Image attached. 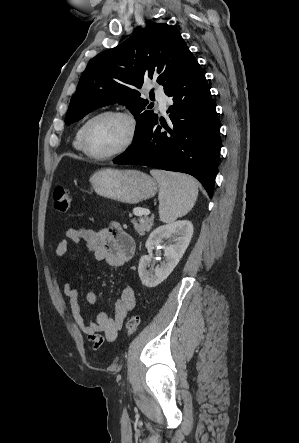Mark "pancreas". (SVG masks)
Returning <instances> with one entry per match:
<instances>
[{
  "instance_id": "cf45deb5",
  "label": "pancreas",
  "mask_w": 299,
  "mask_h": 443,
  "mask_svg": "<svg viewBox=\"0 0 299 443\" xmlns=\"http://www.w3.org/2000/svg\"><path fill=\"white\" fill-rule=\"evenodd\" d=\"M142 211V210H141ZM138 211V212H141ZM130 217H132V214H129ZM131 222L134 224L135 230L141 235H145L146 232L150 231L152 225H153V218H148L144 214L139 215L138 222L135 218L131 220Z\"/></svg>"
}]
</instances>
